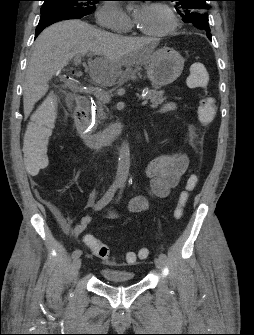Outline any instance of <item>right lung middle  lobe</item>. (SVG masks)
I'll use <instances>...</instances> for the list:
<instances>
[{
	"mask_svg": "<svg viewBox=\"0 0 254 335\" xmlns=\"http://www.w3.org/2000/svg\"><path fill=\"white\" fill-rule=\"evenodd\" d=\"M41 15L53 12L63 11L75 15L79 18L90 14L95 4L100 0H43Z\"/></svg>",
	"mask_w": 254,
	"mask_h": 335,
	"instance_id": "dd1d6c3e",
	"label": "right lung middle lobe"
}]
</instances>
